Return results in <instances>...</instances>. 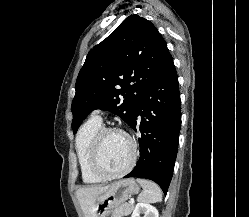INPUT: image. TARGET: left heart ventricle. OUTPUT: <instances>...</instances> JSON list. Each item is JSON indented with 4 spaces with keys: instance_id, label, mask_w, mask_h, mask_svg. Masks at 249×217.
<instances>
[{
    "instance_id": "obj_1",
    "label": "left heart ventricle",
    "mask_w": 249,
    "mask_h": 217,
    "mask_svg": "<svg viewBox=\"0 0 249 217\" xmlns=\"http://www.w3.org/2000/svg\"><path fill=\"white\" fill-rule=\"evenodd\" d=\"M131 158V147L128 140L119 133H108L104 136L100 148V164L109 173L124 169Z\"/></svg>"
}]
</instances>
